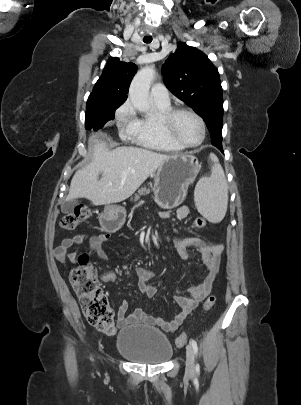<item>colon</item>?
I'll return each instance as SVG.
<instances>
[{
    "mask_svg": "<svg viewBox=\"0 0 301 405\" xmlns=\"http://www.w3.org/2000/svg\"><path fill=\"white\" fill-rule=\"evenodd\" d=\"M90 216V209L85 205L77 206L73 211L66 213L60 220V225L65 230H73ZM207 222L198 217L194 221L196 228H204ZM71 284L79 296L81 308L89 324L106 333L114 330L113 312L109 301L100 287L97 274L89 262L87 254L77 258V265L70 272ZM216 303V297L211 295L203 303L205 311L210 310ZM188 340V334L183 333L175 340L178 347H182Z\"/></svg>",
    "mask_w": 301,
    "mask_h": 405,
    "instance_id": "5ec220e1",
    "label": "colon"
}]
</instances>
